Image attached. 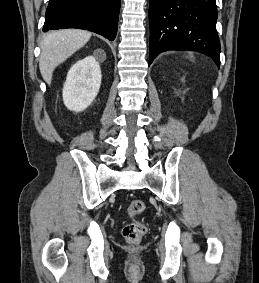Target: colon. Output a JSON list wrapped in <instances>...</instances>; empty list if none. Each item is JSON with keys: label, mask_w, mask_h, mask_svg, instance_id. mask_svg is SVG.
I'll list each match as a JSON object with an SVG mask.
<instances>
[{"label": "colon", "mask_w": 259, "mask_h": 283, "mask_svg": "<svg viewBox=\"0 0 259 283\" xmlns=\"http://www.w3.org/2000/svg\"><path fill=\"white\" fill-rule=\"evenodd\" d=\"M144 210L145 203L140 199H134L128 205V214L132 218H135L136 216L142 214ZM146 232L147 227L143 222L139 220H133L132 222L124 226L122 233L127 243L136 245L141 242Z\"/></svg>", "instance_id": "5ec220e1"}]
</instances>
